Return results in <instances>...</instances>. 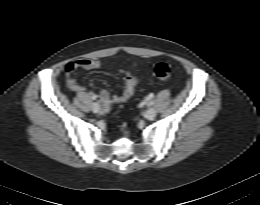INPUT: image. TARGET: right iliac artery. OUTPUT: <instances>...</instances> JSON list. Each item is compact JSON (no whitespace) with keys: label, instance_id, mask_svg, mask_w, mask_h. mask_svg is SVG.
Wrapping results in <instances>:
<instances>
[{"label":"right iliac artery","instance_id":"right-iliac-artery-1","mask_svg":"<svg viewBox=\"0 0 260 205\" xmlns=\"http://www.w3.org/2000/svg\"><path fill=\"white\" fill-rule=\"evenodd\" d=\"M92 98H93V100H95V99L97 98V96H96V95H93Z\"/></svg>","mask_w":260,"mask_h":205}]
</instances>
